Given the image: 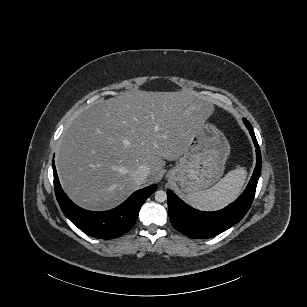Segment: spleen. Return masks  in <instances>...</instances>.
<instances>
[{"label":"spleen","mask_w":307,"mask_h":307,"mask_svg":"<svg viewBox=\"0 0 307 307\" xmlns=\"http://www.w3.org/2000/svg\"><path fill=\"white\" fill-rule=\"evenodd\" d=\"M248 176L246 167L239 166L210 189L188 193L186 202L196 210L204 212L219 211L235 202L242 193Z\"/></svg>","instance_id":"obj_1"}]
</instances>
